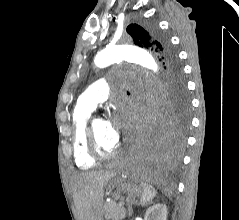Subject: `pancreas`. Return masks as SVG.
Segmentation results:
<instances>
[{
    "mask_svg": "<svg viewBox=\"0 0 239 220\" xmlns=\"http://www.w3.org/2000/svg\"><path fill=\"white\" fill-rule=\"evenodd\" d=\"M104 216L106 220H123L126 217V209L115 201L104 205Z\"/></svg>",
    "mask_w": 239,
    "mask_h": 220,
    "instance_id": "pancreas-1",
    "label": "pancreas"
}]
</instances>
